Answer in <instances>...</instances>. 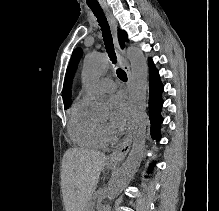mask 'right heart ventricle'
Segmentation results:
<instances>
[{
	"label": "right heart ventricle",
	"instance_id": "right-heart-ventricle-1",
	"mask_svg": "<svg viewBox=\"0 0 219 211\" xmlns=\"http://www.w3.org/2000/svg\"><path fill=\"white\" fill-rule=\"evenodd\" d=\"M88 101L75 103L70 110L69 134L72 140L83 147L102 148L106 141L98 120L92 118L86 108Z\"/></svg>",
	"mask_w": 219,
	"mask_h": 211
}]
</instances>
